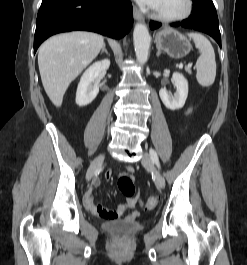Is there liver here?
Wrapping results in <instances>:
<instances>
[{
  "instance_id": "6515ba94",
  "label": "liver",
  "mask_w": 247,
  "mask_h": 265,
  "mask_svg": "<svg viewBox=\"0 0 247 265\" xmlns=\"http://www.w3.org/2000/svg\"><path fill=\"white\" fill-rule=\"evenodd\" d=\"M103 36L75 31L53 36L39 48L38 66L45 92L60 107L71 82L97 57Z\"/></svg>"
}]
</instances>
